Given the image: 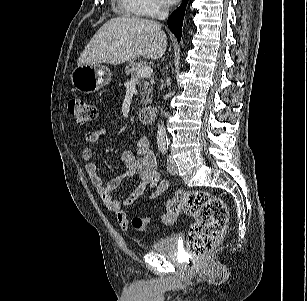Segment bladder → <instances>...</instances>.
Masks as SVG:
<instances>
[{"instance_id": "1", "label": "bladder", "mask_w": 307, "mask_h": 301, "mask_svg": "<svg viewBox=\"0 0 307 301\" xmlns=\"http://www.w3.org/2000/svg\"><path fill=\"white\" fill-rule=\"evenodd\" d=\"M180 238L181 236L178 233L160 237L153 242L151 251L170 259H177Z\"/></svg>"}]
</instances>
